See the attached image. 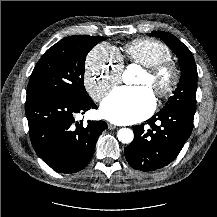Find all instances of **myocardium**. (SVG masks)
I'll return each mask as SVG.
<instances>
[{
	"instance_id": "1",
	"label": "myocardium",
	"mask_w": 217,
	"mask_h": 217,
	"mask_svg": "<svg viewBox=\"0 0 217 217\" xmlns=\"http://www.w3.org/2000/svg\"><path fill=\"white\" fill-rule=\"evenodd\" d=\"M145 73L149 76V87L160 99L170 97L180 80L179 70L170 59L146 67Z\"/></svg>"
}]
</instances>
